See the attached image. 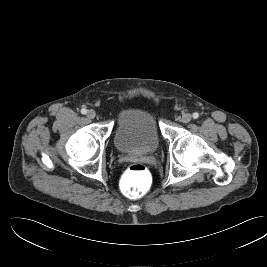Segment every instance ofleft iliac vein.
Here are the masks:
<instances>
[{
    "instance_id": "4c4485c4",
    "label": "left iliac vein",
    "mask_w": 267,
    "mask_h": 267,
    "mask_svg": "<svg viewBox=\"0 0 267 267\" xmlns=\"http://www.w3.org/2000/svg\"><path fill=\"white\" fill-rule=\"evenodd\" d=\"M191 119H192V116L189 113H186L182 116V122L184 123H189Z\"/></svg>"
}]
</instances>
